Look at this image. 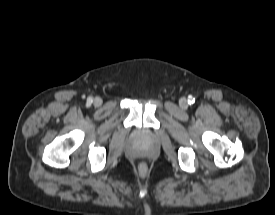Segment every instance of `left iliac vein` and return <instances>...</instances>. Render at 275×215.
Wrapping results in <instances>:
<instances>
[{"label":"left iliac vein","mask_w":275,"mask_h":215,"mask_svg":"<svg viewBox=\"0 0 275 215\" xmlns=\"http://www.w3.org/2000/svg\"><path fill=\"white\" fill-rule=\"evenodd\" d=\"M179 104H180V107L183 109H186L188 107V102L185 98H181Z\"/></svg>","instance_id":"1"}]
</instances>
